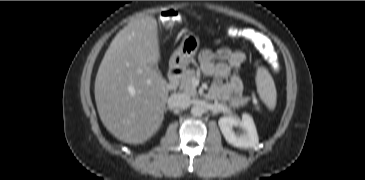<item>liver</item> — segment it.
I'll list each match as a JSON object with an SVG mask.
<instances>
[{"mask_svg":"<svg viewBox=\"0 0 365 180\" xmlns=\"http://www.w3.org/2000/svg\"><path fill=\"white\" fill-rule=\"evenodd\" d=\"M160 60L157 21L134 19L112 40L95 80L99 117L117 139L142 144L161 127L167 82L154 69Z\"/></svg>","mask_w":365,"mask_h":180,"instance_id":"1","label":"liver"}]
</instances>
